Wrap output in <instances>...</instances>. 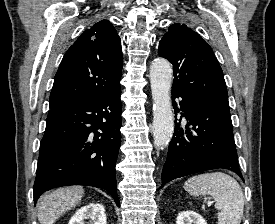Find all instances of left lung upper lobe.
<instances>
[{"mask_svg": "<svg viewBox=\"0 0 275 224\" xmlns=\"http://www.w3.org/2000/svg\"><path fill=\"white\" fill-rule=\"evenodd\" d=\"M158 53L173 65L172 91L229 110L222 69L198 33L185 24H173L160 40Z\"/></svg>", "mask_w": 275, "mask_h": 224, "instance_id": "5c2ea615", "label": "left lung upper lobe"}]
</instances>
